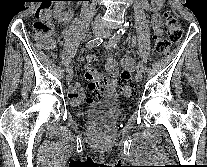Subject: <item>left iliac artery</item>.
<instances>
[{
    "label": "left iliac artery",
    "instance_id": "1",
    "mask_svg": "<svg viewBox=\"0 0 207 167\" xmlns=\"http://www.w3.org/2000/svg\"><path fill=\"white\" fill-rule=\"evenodd\" d=\"M126 32L125 29H120L118 30L113 36L112 38L110 39V45L112 47H116L117 46V43L120 41L121 37L124 35V33ZM144 69V65L142 62H139L138 63V70H141L143 71Z\"/></svg>",
    "mask_w": 207,
    "mask_h": 167
}]
</instances>
